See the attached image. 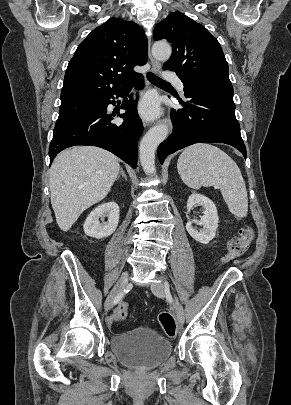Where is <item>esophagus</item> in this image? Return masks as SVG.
<instances>
[{
  "label": "esophagus",
  "mask_w": 291,
  "mask_h": 405,
  "mask_svg": "<svg viewBox=\"0 0 291 405\" xmlns=\"http://www.w3.org/2000/svg\"><path fill=\"white\" fill-rule=\"evenodd\" d=\"M150 41H151V38H149V45H150ZM149 58H150V62H151V71H152L153 73H159V72H160V69H161L160 63H158L157 61H155V60L152 58L151 54H149ZM157 123H159V124L171 125V121H170L169 118H162V119H159V120L157 121Z\"/></svg>",
  "instance_id": "1"
}]
</instances>
